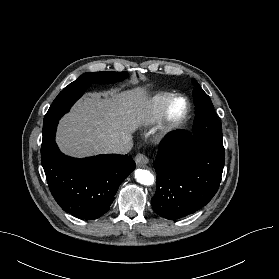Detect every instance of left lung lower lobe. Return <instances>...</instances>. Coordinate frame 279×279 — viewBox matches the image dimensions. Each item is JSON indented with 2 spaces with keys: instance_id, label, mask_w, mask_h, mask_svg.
I'll return each instance as SVG.
<instances>
[{
  "instance_id": "1",
  "label": "left lung lower lobe",
  "mask_w": 279,
  "mask_h": 279,
  "mask_svg": "<svg viewBox=\"0 0 279 279\" xmlns=\"http://www.w3.org/2000/svg\"><path fill=\"white\" fill-rule=\"evenodd\" d=\"M153 210L175 220L205 206L216 194L224 167V150L181 130L160 143L156 161Z\"/></svg>"
}]
</instances>
